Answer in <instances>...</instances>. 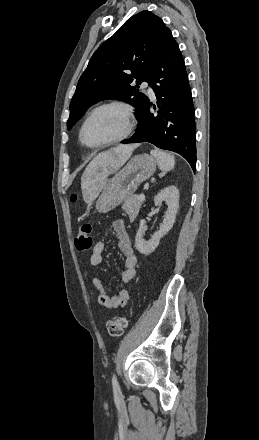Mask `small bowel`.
I'll use <instances>...</instances> for the list:
<instances>
[{"instance_id": "c3829d8e", "label": "small bowel", "mask_w": 259, "mask_h": 440, "mask_svg": "<svg viewBox=\"0 0 259 440\" xmlns=\"http://www.w3.org/2000/svg\"><path fill=\"white\" fill-rule=\"evenodd\" d=\"M110 228L114 231L117 239V246L124 256V267L121 274V286L118 294L116 296H110L106 292L102 280L93 269L89 270V278L99 291V305L107 309H116L125 307L130 299V293L127 287H131L136 279L137 257L134 253L123 220H114L111 223ZM104 249L105 243L103 241L95 243L89 259L91 267H97L102 263Z\"/></svg>"}]
</instances>
